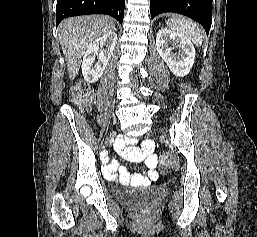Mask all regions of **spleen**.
<instances>
[{
  "mask_svg": "<svg viewBox=\"0 0 257 237\" xmlns=\"http://www.w3.org/2000/svg\"><path fill=\"white\" fill-rule=\"evenodd\" d=\"M166 24L176 33L188 37L196 46H200L202 44V31L192 21L186 19H169Z\"/></svg>",
  "mask_w": 257,
  "mask_h": 237,
  "instance_id": "3e777b00",
  "label": "spleen"
}]
</instances>
